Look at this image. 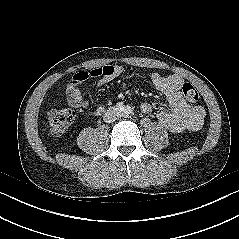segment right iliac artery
Listing matches in <instances>:
<instances>
[{
    "label": "right iliac artery",
    "instance_id": "obj_1",
    "mask_svg": "<svg viewBox=\"0 0 239 239\" xmlns=\"http://www.w3.org/2000/svg\"><path fill=\"white\" fill-rule=\"evenodd\" d=\"M116 109L120 112L124 111V109H125L124 104L122 102L117 103L116 104Z\"/></svg>",
    "mask_w": 239,
    "mask_h": 239
}]
</instances>
